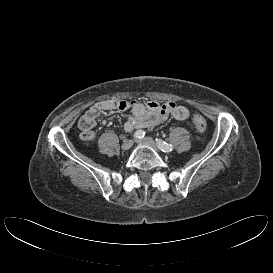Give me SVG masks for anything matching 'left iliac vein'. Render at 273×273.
<instances>
[{"mask_svg": "<svg viewBox=\"0 0 273 273\" xmlns=\"http://www.w3.org/2000/svg\"><path fill=\"white\" fill-rule=\"evenodd\" d=\"M136 142L142 145H148L152 147L153 149H155L156 151H159L158 145L152 138L146 137V138L137 140Z\"/></svg>", "mask_w": 273, "mask_h": 273, "instance_id": "1", "label": "left iliac vein"}]
</instances>
